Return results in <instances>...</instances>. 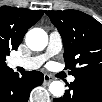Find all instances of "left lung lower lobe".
I'll return each mask as SVG.
<instances>
[{
    "mask_svg": "<svg viewBox=\"0 0 102 102\" xmlns=\"http://www.w3.org/2000/svg\"><path fill=\"white\" fill-rule=\"evenodd\" d=\"M67 85L70 89L63 97L54 99L55 102H100L102 100V83L100 82L75 79Z\"/></svg>",
    "mask_w": 102,
    "mask_h": 102,
    "instance_id": "0a47b994",
    "label": "left lung lower lobe"
}]
</instances>
